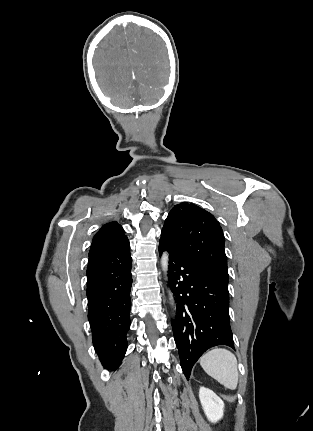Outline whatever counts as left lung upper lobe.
<instances>
[{"instance_id":"left-lung-upper-lobe-1","label":"left lung upper lobe","mask_w":313,"mask_h":431,"mask_svg":"<svg viewBox=\"0 0 313 431\" xmlns=\"http://www.w3.org/2000/svg\"><path fill=\"white\" fill-rule=\"evenodd\" d=\"M160 240L184 259L228 282L225 238L211 213L192 203L175 205Z\"/></svg>"}]
</instances>
